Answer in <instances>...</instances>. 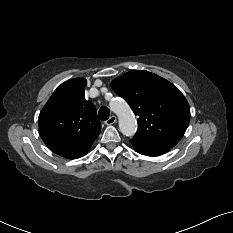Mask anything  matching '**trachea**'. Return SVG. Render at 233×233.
Wrapping results in <instances>:
<instances>
[{
    "label": "trachea",
    "mask_w": 233,
    "mask_h": 233,
    "mask_svg": "<svg viewBox=\"0 0 233 233\" xmlns=\"http://www.w3.org/2000/svg\"><path fill=\"white\" fill-rule=\"evenodd\" d=\"M98 116L102 121H105L109 118L110 116V110L108 107L103 106L99 109Z\"/></svg>",
    "instance_id": "1"
}]
</instances>
